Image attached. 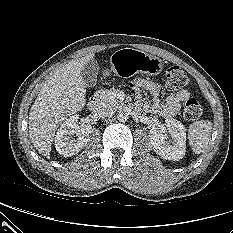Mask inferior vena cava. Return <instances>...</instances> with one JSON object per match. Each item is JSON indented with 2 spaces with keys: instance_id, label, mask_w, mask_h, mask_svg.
Returning a JSON list of instances; mask_svg holds the SVG:
<instances>
[{
  "instance_id": "inferior-vena-cava-1",
  "label": "inferior vena cava",
  "mask_w": 233,
  "mask_h": 233,
  "mask_svg": "<svg viewBox=\"0 0 233 233\" xmlns=\"http://www.w3.org/2000/svg\"><path fill=\"white\" fill-rule=\"evenodd\" d=\"M113 114V109L111 106L105 103H99L93 109V115L98 118H108Z\"/></svg>"
}]
</instances>
